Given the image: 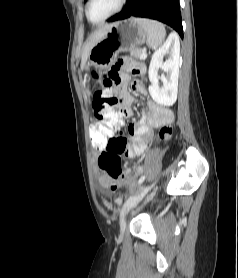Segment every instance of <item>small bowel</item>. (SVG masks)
<instances>
[{"instance_id":"obj_1","label":"small bowel","mask_w":238,"mask_h":278,"mask_svg":"<svg viewBox=\"0 0 238 278\" xmlns=\"http://www.w3.org/2000/svg\"><path fill=\"white\" fill-rule=\"evenodd\" d=\"M125 60H127V55H118V59H113V64H110L108 71H106V76H110V84L114 85V89H119L120 91V93L115 94V97L121 102L120 127L117 128V134H110L107 144H127L125 154H121V156L127 155L129 157H135L144 153L157 127L172 122L173 114L171 111L156 105L153 101H149L147 108L142 110L140 120L136 124L132 123L128 126L127 131L130 138L126 139L121 133L126 131L125 127H121L123 125L122 118L132 116L131 106L134 98L127 91L129 77L126 74L121 75V72L125 69ZM126 64L134 74H143L145 72V67L143 65L133 62H127ZM133 90L141 95L147 94L146 87L139 81L133 83ZM94 136L95 135H92V137ZM111 180L112 179L107 176L103 181L105 184H109Z\"/></svg>"}]
</instances>
